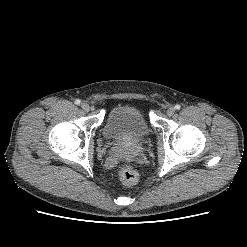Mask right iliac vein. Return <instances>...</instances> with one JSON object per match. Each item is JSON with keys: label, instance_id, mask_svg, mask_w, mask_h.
<instances>
[{"label": "right iliac vein", "instance_id": "right-iliac-vein-1", "mask_svg": "<svg viewBox=\"0 0 247 247\" xmlns=\"http://www.w3.org/2000/svg\"><path fill=\"white\" fill-rule=\"evenodd\" d=\"M81 108H82V110H84L85 112H88V111L90 110V106H89V104H87V103H82V104H81Z\"/></svg>", "mask_w": 247, "mask_h": 247}]
</instances>
